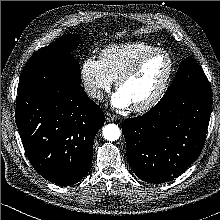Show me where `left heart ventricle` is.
<instances>
[{
	"label": "left heart ventricle",
	"instance_id": "1",
	"mask_svg": "<svg viewBox=\"0 0 220 220\" xmlns=\"http://www.w3.org/2000/svg\"><path fill=\"white\" fill-rule=\"evenodd\" d=\"M169 66L167 56L156 54L147 59L133 77L124 81L119 90L127 96L132 106L143 103L162 85Z\"/></svg>",
	"mask_w": 220,
	"mask_h": 220
}]
</instances>
